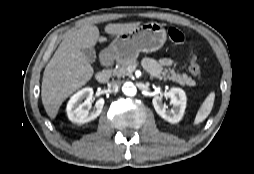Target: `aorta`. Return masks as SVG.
Segmentation results:
<instances>
[{
  "instance_id": "762f6f07",
  "label": "aorta",
  "mask_w": 254,
  "mask_h": 174,
  "mask_svg": "<svg viewBox=\"0 0 254 174\" xmlns=\"http://www.w3.org/2000/svg\"><path fill=\"white\" fill-rule=\"evenodd\" d=\"M122 92L129 97H133L137 93L135 85L131 82H126L122 87Z\"/></svg>"
}]
</instances>
